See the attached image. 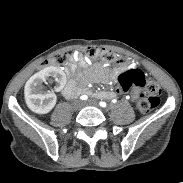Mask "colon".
Instances as JSON below:
<instances>
[{"label":"colon","instance_id":"obj_1","mask_svg":"<svg viewBox=\"0 0 183 183\" xmlns=\"http://www.w3.org/2000/svg\"><path fill=\"white\" fill-rule=\"evenodd\" d=\"M84 52L89 58L101 59L107 63L118 60L115 53L99 47L88 46ZM67 60L68 55L66 53H58L42 62L40 67L63 65ZM132 88L140 89L136 100V107L140 112L148 113L159 105L160 85L156 80L146 77L141 70L132 69L121 73L118 77V86L115 88V93L118 96H123Z\"/></svg>","mask_w":183,"mask_h":183}]
</instances>
